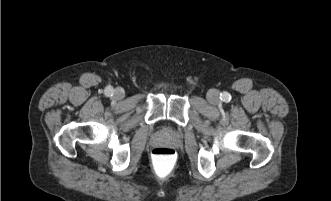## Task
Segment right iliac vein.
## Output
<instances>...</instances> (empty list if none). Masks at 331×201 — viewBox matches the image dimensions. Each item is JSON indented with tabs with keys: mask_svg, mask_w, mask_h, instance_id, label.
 Here are the masks:
<instances>
[{
	"mask_svg": "<svg viewBox=\"0 0 331 201\" xmlns=\"http://www.w3.org/2000/svg\"><path fill=\"white\" fill-rule=\"evenodd\" d=\"M125 93L122 88H116L114 91V97L118 100L122 99L124 97Z\"/></svg>",
	"mask_w": 331,
	"mask_h": 201,
	"instance_id": "obj_1",
	"label": "right iliac vein"
}]
</instances>
